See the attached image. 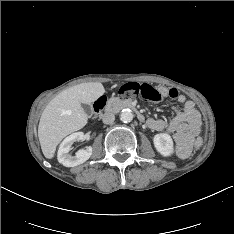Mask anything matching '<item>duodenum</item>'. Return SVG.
Returning a JSON list of instances; mask_svg holds the SVG:
<instances>
[{
  "label": "duodenum",
  "instance_id": "1",
  "mask_svg": "<svg viewBox=\"0 0 234 234\" xmlns=\"http://www.w3.org/2000/svg\"><path fill=\"white\" fill-rule=\"evenodd\" d=\"M123 109L133 110L140 121H145L144 115L139 110L138 106L131 100H115L105 106V112L107 113H114Z\"/></svg>",
  "mask_w": 234,
  "mask_h": 234
}]
</instances>
